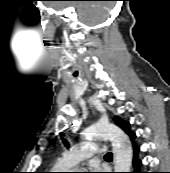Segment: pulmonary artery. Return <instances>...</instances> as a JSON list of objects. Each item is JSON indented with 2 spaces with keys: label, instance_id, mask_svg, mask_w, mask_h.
I'll list each match as a JSON object with an SVG mask.
<instances>
[{
  "label": "pulmonary artery",
  "instance_id": "pulmonary-artery-1",
  "mask_svg": "<svg viewBox=\"0 0 170 173\" xmlns=\"http://www.w3.org/2000/svg\"><path fill=\"white\" fill-rule=\"evenodd\" d=\"M107 152V147L99 146L91 141H83L75 145L64 154L67 167L77 165L79 162L89 159L94 155Z\"/></svg>",
  "mask_w": 170,
  "mask_h": 173
}]
</instances>
